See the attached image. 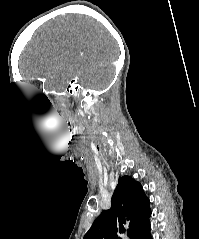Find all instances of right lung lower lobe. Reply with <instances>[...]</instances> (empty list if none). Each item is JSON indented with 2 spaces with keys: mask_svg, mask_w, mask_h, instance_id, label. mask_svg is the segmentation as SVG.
<instances>
[{
  "mask_svg": "<svg viewBox=\"0 0 199 239\" xmlns=\"http://www.w3.org/2000/svg\"><path fill=\"white\" fill-rule=\"evenodd\" d=\"M151 225L149 220L146 221L141 228L135 233L132 239H152L150 235Z\"/></svg>",
  "mask_w": 199,
  "mask_h": 239,
  "instance_id": "right-lung-lower-lobe-1",
  "label": "right lung lower lobe"
}]
</instances>
